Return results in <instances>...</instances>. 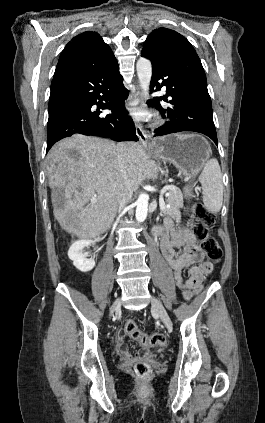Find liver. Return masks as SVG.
<instances>
[{"label":"liver","mask_w":265,"mask_h":423,"mask_svg":"<svg viewBox=\"0 0 265 423\" xmlns=\"http://www.w3.org/2000/svg\"><path fill=\"white\" fill-rule=\"evenodd\" d=\"M118 145L124 149L133 191L145 178L157 177L156 163L134 142L116 144L75 134L56 143L46 157L54 216L63 230L80 239L99 236L115 218L120 183ZM56 188L63 189L60 199ZM92 198L97 202L91 203Z\"/></svg>","instance_id":"obj_1"}]
</instances>
